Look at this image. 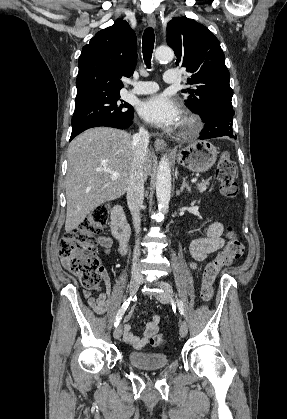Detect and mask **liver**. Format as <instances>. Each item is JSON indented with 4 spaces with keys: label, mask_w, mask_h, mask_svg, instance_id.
I'll return each mask as SVG.
<instances>
[{
    "label": "liver",
    "mask_w": 287,
    "mask_h": 419,
    "mask_svg": "<svg viewBox=\"0 0 287 419\" xmlns=\"http://www.w3.org/2000/svg\"><path fill=\"white\" fill-rule=\"evenodd\" d=\"M134 159L132 136L114 128L86 130L69 144L65 179L67 233L77 228L86 216L101 204L127 192ZM152 168V154L147 150L144 179ZM104 170L119 173L116 180Z\"/></svg>",
    "instance_id": "obj_1"
}]
</instances>
